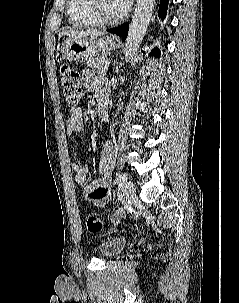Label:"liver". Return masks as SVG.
I'll list each match as a JSON object with an SVG mask.
<instances>
[{"label": "liver", "instance_id": "1", "mask_svg": "<svg viewBox=\"0 0 239 303\" xmlns=\"http://www.w3.org/2000/svg\"><path fill=\"white\" fill-rule=\"evenodd\" d=\"M104 31H99V30H86V31H73V30H68V31H62L60 36H68L69 40L70 39H79L83 37H98L101 35H104Z\"/></svg>", "mask_w": 239, "mask_h": 303}]
</instances>
